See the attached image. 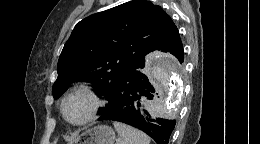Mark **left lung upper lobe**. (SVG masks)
Returning a JSON list of instances; mask_svg holds the SVG:
<instances>
[{"label": "left lung upper lobe", "mask_w": 260, "mask_h": 144, "mask_svg": "<svg viewBox=\"0 0 260 144\" xmlns=\"http://www.w3.org/2000/svg\"><path fill=\"white\" fill-rule=\"evenodd\" d=\"M178 29L163 9L147 0H134L92 14L71 33L59 57L54 98L75 81L94 83L98 96L111 104L115 89L133 64L161 50L178 35Z\"/></svg>", "instance_id": "obj_1"}]
</instances>
